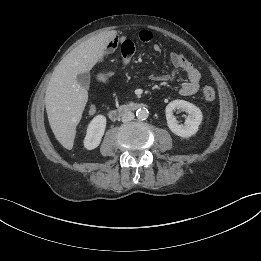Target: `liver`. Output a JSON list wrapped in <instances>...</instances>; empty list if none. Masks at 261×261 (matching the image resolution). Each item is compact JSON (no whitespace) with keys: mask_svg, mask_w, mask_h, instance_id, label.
Returning <instances> with one entry per match:
<instances>
[{"mask_svg":"<svg viewBox=\"0 0 261 261\" xmlns=\"http://www.w3.org/2000/svg\"><path fill=\"white\" fill-rule=\"evenodd\" d=\"M116 34L115 30L106 31L81 43L53 72L45 94L46 112L56 139L66 148L72 147L76 126L88 100L87 90L76 77L93 68Z\"/></svg>","mask_w":261,"mask_h":261,"instance_id":"1","label":"liver"}]
</instances>
